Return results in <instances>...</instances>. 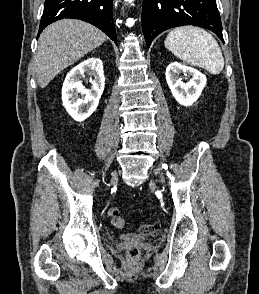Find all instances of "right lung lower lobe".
Instances as JSON below:
<instances>
[{"label":"right lung lower lobe","instance_id":"obj_1","mask_svg":"<svg viewBox=\"0 0 259 294\" xmlns=\"http://www.w3.org/2000/svg\"><path fill=\"white\" fill-rule=\"evenodd\" d=\"M113 0H45L39 32L51 23L63 19H80L95 25L116 43L112 17Z\"/></svg>","mask_w":259,"mask_h":294}]
</instances>
